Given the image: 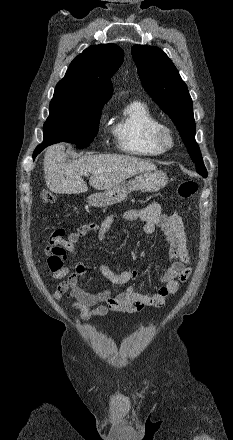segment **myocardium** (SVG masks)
Wrapping results in <instances>:
<instances>
[{"mask_svg": "<svg viewBox=\"0 0 233 440\" xmlns=\"http://www.w3.org/2000/svg\"><path fill=\"white\" fill-rule=\"evenodd\" d=\"M152 139L154 143L164 151L172 148L174 145V133L172 129L165 124H159L153 129Z\"/></svg>", "mask_w": 233, "mask_h": 440, "instance_id": "obj_1", "label": "myocardium"}]
</instances>
